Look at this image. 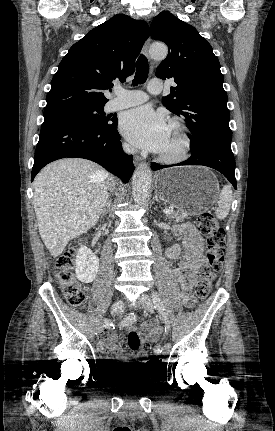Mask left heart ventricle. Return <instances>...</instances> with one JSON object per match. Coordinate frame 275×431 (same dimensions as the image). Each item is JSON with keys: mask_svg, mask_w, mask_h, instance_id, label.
<instances>
[{"mask_svg": "<svg viewBox=\"0 0 275 431\" xmlns=\"http://www.w3.org/2000/svg\"><path fill=\"white\" fill-rule=\"evenodd\" d=\"M180 146L181 140L179 132L175 127L168 125L167 136L159 153L164 155H174L179 151Z\"/></svg>", "mask_w": 275, "mask_h": 431, "instance_id": "b2bd125f", "label": "left heart ventricle"}]
</instances>
